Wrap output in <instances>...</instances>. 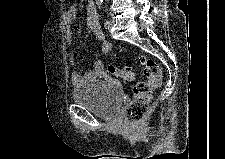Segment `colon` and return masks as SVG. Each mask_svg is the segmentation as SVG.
<instances>
[{"instance_id": "5ec220e1", "label": "colon", "mask_w": 225, "mask_h": 159, "mask_svg": "<svg viewBox=\"0 0 225 159\" xmlns=\"http://www.w3.org/2000/svg\"><path fill=\"white\" fill-rule=\"evenodd\" d=\"M139 60L147 81H140L133 88V100L125 112V120L132 126L140 125L147 115L152 102L153 91L162 80V68L159 64L146 57H141ZM107 71L108 74L128 82L134 81L136 78V72L131 68H118L109 65Z\"/></svg>"}]
</instances>
